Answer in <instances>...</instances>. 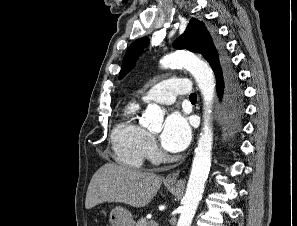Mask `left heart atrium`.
Here are the masks:
<instances>
[{"mask_svg":"<svg viewBox=\"0 0 297 226\" xmlns=\"http://www.w3.org/2000/svg\"><path fill=\"white\" fill-rule=\"evenodd\" d=\"M190 139L191 129L187 119L178 112L169 114L160 137L162 147L169 152H180L188 146Z\"/></svg>","mask_w":297,"mask_h":226,"instance_id":"obj_1","label":"left heart atrium"}]
</instances>
